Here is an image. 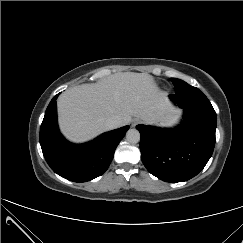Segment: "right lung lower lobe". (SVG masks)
I'll return each instance as SVG.
<instances>
[{"label": "right lung lower lobe", "mask_w": 243, "mask_h": 243, "mask_svg": "<svg viewBox=\"0 0 243 243\" xmlns=\"http://www.w3.org/2000/svg\"><path fill=\"white\" fill-rule=\"evenodd\" d=\"M58 95L48 105L40 128L43 155L51 169L61 177L73 182L90 181L105 173L129 126L106 132L86 144H72L58 129Z\"/></svg>", "instance_id": "98d812e1"}]
</instances>
